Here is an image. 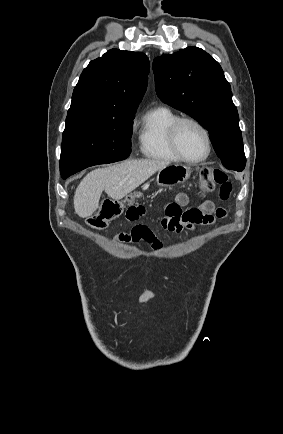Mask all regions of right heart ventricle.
Segmentation results:
<instances>
[{
	"label": "right heart ventricle",
	"mask_w": 283,
	"mask_h": 434,
	"mask_svg": "<svg viewBox=\"0 0 283 434\" xmlns=\"http://www.w3.org/2000/svg\"><path fill=\"white\" fill-rule=\"evenodd\" d=\"M179 116L167 107H158L145 114L140 125V150L153 160L175 163L180 159L172 151L168 132Z\"/></svg>",
	"instance_id": "1"
}]
</instances>
